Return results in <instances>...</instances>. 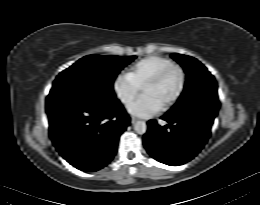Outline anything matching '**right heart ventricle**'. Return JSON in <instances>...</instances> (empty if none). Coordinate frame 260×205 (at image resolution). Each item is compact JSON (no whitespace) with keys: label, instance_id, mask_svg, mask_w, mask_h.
<instances>
[{"label":"right heart ventricle","instance_id":"e07e8e85","mask_svg":"<svg viewBox=\"0 0 260 205\" xmlns=\"http://www.w3.org/2000/svg\"><path fill=\"white\" fill-rule=\"evenodd\" d=\"M155 68L157 73H160L161 71L165 70L168 67H171L173 65H176L175 62H173L170 59L158 57L155 59Z\"/></svg>","mask_w":260,"mask_h":205}]
</instances>
